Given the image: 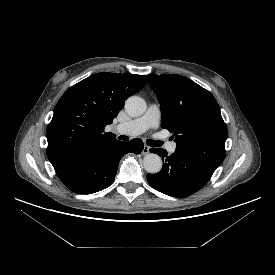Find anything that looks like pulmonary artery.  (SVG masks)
I'll return each instance as SVG.
<instances>
[{"label": "pulmonary artery", "instance_id": "1", "mask_svg": "<svg viewBox=\"0 0 275 275\" xmlns=\"http://www.w3.org/2000/svg\"><path fill=\"white\" fill-rule=\"evenodd\" d=\"M161 112L157 104H151L146 113L135 120L121 123L116 126V130L123 134L139 135L151 128H157L160 122ZM176 149L175 143L168 145V151L173 153Z\"/></svg>", "mask_w": 275, "mask_h": 275}]
</instances>
